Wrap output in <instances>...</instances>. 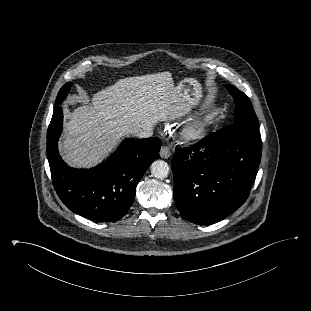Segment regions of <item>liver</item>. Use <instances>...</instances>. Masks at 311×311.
Wrapping results in <instances>:
<instances>
[{"label":"liver","instance_id":"obj_1","mask_svg":"<svg viewBox=\"0 0 311 311\" xmlns=\"http://www.w3.org/2000/svg\"><path fill=\"white\" fill-rule=\"evenodd\" d=\"M191 105L170 72L119 79L68 114L62 157L70 166L91 167L124 135L179 119Z\"/></svg>","mask_w":311,"mask_h":311}]
</instances>
